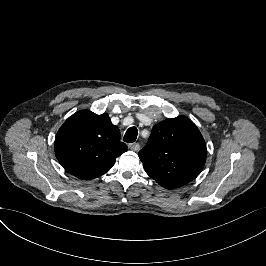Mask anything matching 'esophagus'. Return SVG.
<instances>
[{"label":"esophagus","mask_w":266,"mask_h":266,"mask_svg":"<svg viewBox=\"0 0 266 266\" xmlns=\"http://www.w3.org/2000/svg\"><path fill=\"white\" fill-rule=\"evenodd\" d=\"M128 148L134 152H138L140 149V145L138 143H131L128 145Z\"/></svg>","instance_id":"34e87169"}]
</instances>
